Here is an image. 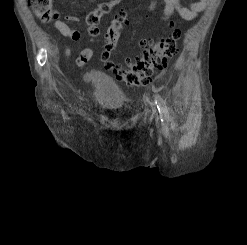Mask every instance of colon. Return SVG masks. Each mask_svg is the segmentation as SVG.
I'll list each match as a JSON object with an SVG mask.
<instances>
[{"instance_id":"colon-1","label":"colon","mask_w":247,"mask_h":245,"mask_svg":"<svg viewBox=\"0 0 247 245\" xmlns=\"http://www.w3.org/2000/svg\"><path fill=\"white\" fill-rule=\"evenodd\" d=\"M120 0L102 3L97 8L88 12L86 23L89 34L95 37L99 33V22L107 14L113 5ZM36 16L43 22L52 19L53 0H28ZM180 37V31L173 29L167 35L160 39H144L140 42L142 55L137 58H127L126 66L115 64L111 58V52L115 48L118 39L117 32L108 30L106 32L105 51L101 56V61L106 69L112 70L116 77L129 86H145L152 77L166 68L170 59L177 53V41Z\"/></svg>"}]
</instances>
